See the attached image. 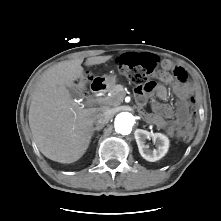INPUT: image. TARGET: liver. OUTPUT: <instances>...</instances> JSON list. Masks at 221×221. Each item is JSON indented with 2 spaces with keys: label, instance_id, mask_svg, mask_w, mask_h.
Masks as SVG:
<instances>
[{
  "label": "liver",
  "instance_id": "1",
  "mask_svg": "<svg viewBox=\"0 0 221 221\" xmlns=\"http://www.w3.org/2000/svg\"><path fill=\"white\" fill-rule=\"evenodd\" d=\"M112 56L87 58L86 66L105 63ZM82 59L59 62L46 70L35 85L29 108V126L40 152L60 163H73L86 152L92 137L93 117L101 109L76 103L68 87L86 88Z\"/></svg>",
  "mask_w": 221,
  "mask_h": 221
}]
</instances>
